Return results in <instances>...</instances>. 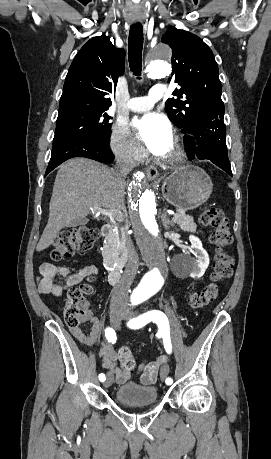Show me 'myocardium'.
<instances>
[{"mask_svg":"<svg viewBox=\"0 0 271 459\" xmlns=\"http://www.w3.org/2000/svg\"><path fill=\"white\" fill-rule=\"evenodd\" d=\"M172 141V147L171 150L167 154H156V157L160 160L166 161V162H176L180 159L181 157V144L177 137L172 135L171 137Z\"/></svg>","mask_w":271,"mask_h":459,"instance_id":"f54148a6","label":"myocardium"}]
</instances>
